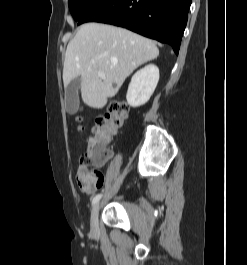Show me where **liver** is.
Masks as SVG:
<instances>
[{
    "instance_id": "obj_1",
    "label": "liver",
    "mask_w": 247,
    "mask_h": 265,
    "mask_svg": "<svg viewBox=\"0 0 247 265\" xmlns=\"http://www.w3.org/2000/svg\"><path fill=\"white\" fill-rule=\"evenodd\" d=\"M158 55L156 44L145 37L111 25L86 23L68 43L64 87L80 77L83 102L101 109L138 66ZM99 71L104 73L105 79L99 77Z\"/></svg>"
}]
</instances>
